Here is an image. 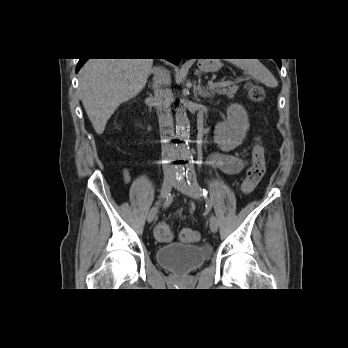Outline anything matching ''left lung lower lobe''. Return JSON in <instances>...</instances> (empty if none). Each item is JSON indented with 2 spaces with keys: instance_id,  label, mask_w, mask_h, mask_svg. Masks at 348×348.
<instances>
[{
  "instance_id": "0a47b994",
  "label": "left lung lower lobe",
  "mask_w": 348,
  "mask_h": 348,
  "mask_svg": "<svg viewBox=\"0 0 348 348\" xmlns=\"http://www.w3.org/2000/svg\"><path fill=\"white\" fill-rule=\"evenodd\" d=\"M275 61L277 62V64H278L279 68H281V60H280V59H278V60H275Z\"/></svg>"
}]
</instances>
